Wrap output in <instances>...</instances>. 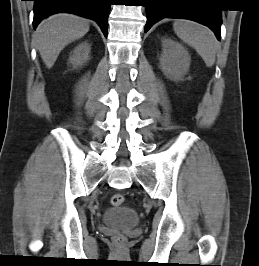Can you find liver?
<instances>
[{
  "mask_svg": "<svg viewBox=\"0 0 259 266\" xmlns=\"http://www.w3.org/2000/svg\"><path fill=\"white\" fill-rule=\"evenodd\" d=\"M88 31L86 19L68 13L55 14L43 20L36 29L35 40L46 67L52 68L60 52Z\"/></svg>",
  "mask_w": 259,
  "mask_h": 266,
  "instance_id": "obj_1",
  "label": "liver"
}]
</instances>
